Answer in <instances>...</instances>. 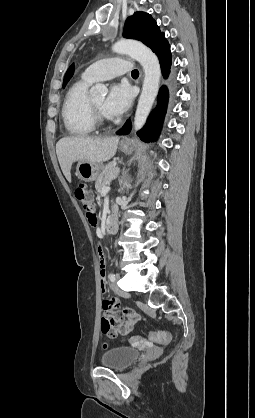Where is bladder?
<instances>
[{"label": "bladder", "mask_w": 255, "mask_h": 418, "mask_svg": "<svg viewBox=\"0 0 255 418\" xmlns=\"http://www.w3.org/2000/svg\"><path fill=\"white\" fill-rule=\"evenodd\" d=\"M140 356L138 350L131 347H115L105 351L101 365L115 370H124L132 365Z\"/></svg>", "instance_id": "obj_1"}]
</instances>
